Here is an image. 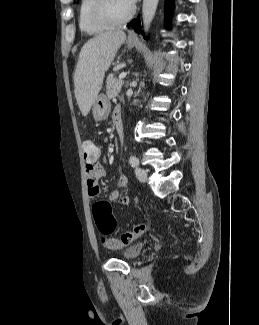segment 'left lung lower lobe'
<instances>
[{
    "label": "left lung lower lobe",
    "mask_w": 259,
    "mask_h": 325,
    "mask_svg": "<svg viewBox=\"0 0 259 325\" xmlns=\"http://www.w3.org/2000/svg\"><path fill=\"white\" fill-rule=\"evenodd\" d=\"M172 9H173V0H166V16H170L172 13ZM128 27L133 26L134 29L136 30L137 33H140V23L136 21V19H134L133 21H131L128 25Z\"/></svg>",
    "instance_id": "0a47b994"
}]
</instances>
